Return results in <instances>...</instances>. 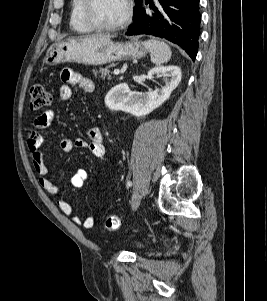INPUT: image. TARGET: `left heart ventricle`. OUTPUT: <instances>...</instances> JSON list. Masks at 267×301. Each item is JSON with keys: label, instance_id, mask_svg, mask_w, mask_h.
I'll use <instances>...</instances> for the list:
<instances>
[{"label": "left heart ventricle", "instance_id": "b2bd125f", "mask_svg": "<svg viewBox=\"0 0 267 301\" xmlns=\"http://www.w3.org/2000/svg\"><path fill=\"white\" fill-rule=\"evenodd\" d=\"M125 11L124 0H95L93 6V16L104 25L118 22Z\"/></svg>", "mask_w": 267, "mask_h": 301}]
</instances>
